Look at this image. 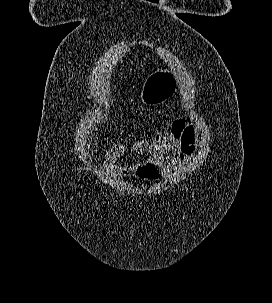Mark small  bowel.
I'll list each match as a JSON object with an SVG mask.
<instances>
[{
    "label": "small bowel",
    "mask_w": 272,
    "mask_h": 303,
    "mask_svg": "<svg viewBox=\"0 0 272 303\" xmlns=\"http://www.w3.org/2000/svg\"><path fill=\"white\" fill-rule=\"evenodd\" d=\"M198 135L192 121L181 116L174 119L169 130L157 135L152 143L146 140L121 141L113 145L105 155L107 169L115 170L120 176H130L141 166L152 164L164 175L174 176L191 160L196 151ZM147 156L129 166H116V160L127 156Z\"/></svg>",
    "instance_id": "1"
}]
</instances>
